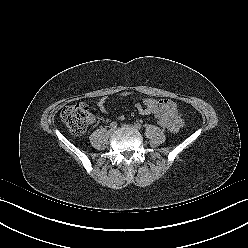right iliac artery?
I'll return each instance as SVG.
<instances>
[{
    "label": "right iliac artery",
    "mask_w": 248,
    "mask_h": 248,
    "mask_svg": "<svg viewBox=\"0 0 248 248\" xmlns=\"http://www.w3.org/2000/svg\"><path fill=\"white\" fill-rule=\"evenodd\" d=\"M118 126V123L116 121H113L111 124H110V127L115 129L116 127Z\"/></svg>",
    "instance_id": "1"
}]
</instances>
